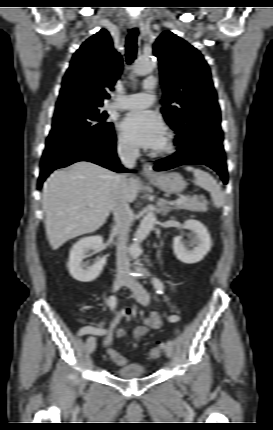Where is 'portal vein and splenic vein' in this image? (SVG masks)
Listing matches in <instances>:
<instances>
[{
	"label": "portal vein and splenic vein",
	"mask_w": 273,
	"mask_h": 430,
	"mask_svg": "<svg viewBox=\"0 0 273 430\" xmlns=\"http://www.w3.org/2000/svg\"><path fill=\"white\" fill-rule=\"evenodd\" d=\"M184 200H186V196H181L180 198L177 199V201L175 202V204H180L182 203ZM170 204H174V203H170Z\"/></svg>",
	"instance_id": "portal-vein-and-splenic-vein-1"
}]
</instances>
